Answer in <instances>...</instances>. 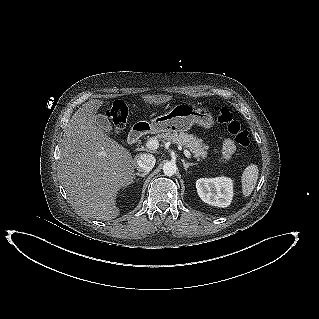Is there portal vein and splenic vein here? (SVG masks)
I'll use <instances>...</instances> for the list:
<instances>
[{
  "label": "portal vein and splenic vein",
  "mask_w": 319,
  "mask_h": 319,
  "mask_svg": "<svg viewBox=\"0 0 319 319\" xmlns=\"http://www.w3.org/2000/svg\"><path fill=\"white\" fill-rule=\"evenodd\" d=\"M146 147L149 150H156L159 147V142L156 139H150L149 141L146 142ZM185 156L189 159L191 158V153L188 150H184Z\"/></svg>",
  "instance_id": "obj_1"
}]
</instances>
